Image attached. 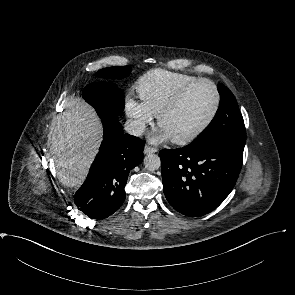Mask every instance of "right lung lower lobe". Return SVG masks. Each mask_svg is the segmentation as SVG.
<instances>
[{
	"instance_id": "right-lung-lower-lobe-1",
	"label": "right lung lower lobe",
	"mask_w": 295,
	"mask_h": 295,
	"mask_svg": "<svg viewBox=\"0 0 295 295\" xmlns=\"http://www.w3.org/2000/svg\"><path fill=\"white\" fill-rule=\"evenodd\" d=\"M104 137L87 179L74 195L78 209L92 219H104L124 203L131 169L143 160L144 142L124 134L116 119L101 118Z\"/></svg>"
}]
</instances>
